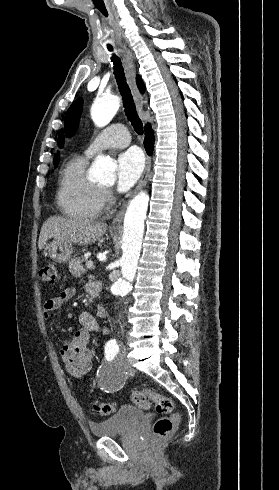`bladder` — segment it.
Segmentation results:
<instances>
[{"label":"bladder","instance_id":"1","mask_svg":"<svg viewBox=\"0 0 279 490\" xmlns=\"http://www.w3.org/2000/svg\"><path fill=\"white\" fill-rule=\"evenodd\" d=\"M146 416L138 406L121 405L120 409L103 421L90 423V431L94 437H111L119 432H130Z\"/></svg>","mask_w":279,"mask_h":490}]
</instances>
